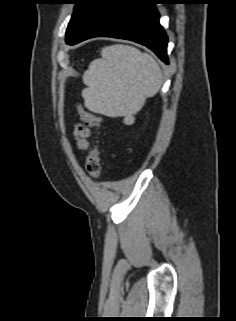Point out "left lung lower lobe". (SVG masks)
I'll return each mask as SVG.
<instances>
[{"label":"left lung lower lobe","mask_w":236,"mask_h":321,"mask_svg":"<svg viewBox=\"0 0 236 321\" xmlns=\"http://www.w3.org/2000/svg\"><path fill=\"white\" fill-rule=\"evenodd\" d=\"M159 3V0H95L74 37L66 43L75 45L93 37L127 39L150 48L168 64V38L154 6Z\"/></svg>","instance_id":"left-lung-lower-lobe-1"}]
</instances>
